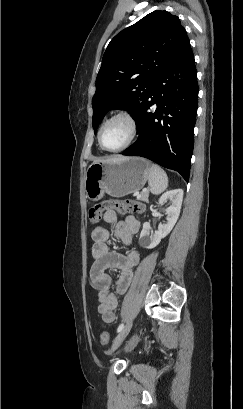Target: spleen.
Wrapping results in <instances>:
<instances>
[{
	"instance_id": "3e777b00",
	"label": "spleen",
	"mask_w": 243,
	"mask_h": 409,
	"mask_svg": "<svg viewBox=\"0 0 243 409\" xmlns=\"http://www.w3.org/2000/svg\"><path fill=\"white\" fill-rule=\"evenodd\" d=\"M148 185L152 194L158 195L166 190L168 177L165 171L158 165L151 164Z\"/></svg>"
}]
</instances>
